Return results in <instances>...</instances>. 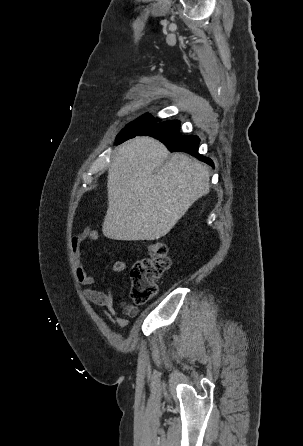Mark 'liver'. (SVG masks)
I'll return each instance as SVG.
<instances>
[{
	"label": "liver",
	"instance_id": "obj_1",
	"mask_svg": "<svg viewBox=\"0 0 303 446\" xmlns=\"http://www.w3.org/2000/svg\"><path fill=\"white\" fill-rule=\"evenodd\" d=\"M167 148L136 137L115 152L108 170V209L102 232L113 240H157L209 191L202 163L182 153L166 163Z\"/></svg>",
	"mask_w": 303,
	"mask_h": 446
}]
</instances>
